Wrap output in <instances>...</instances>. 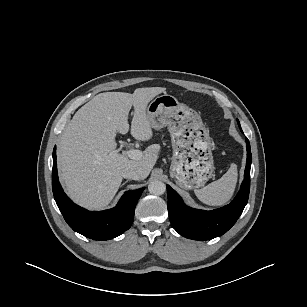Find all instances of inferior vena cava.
<instances>
[{
	"instance_id": "602c4592",
	"label": "inferior vena cava",
	"mask_w": 307,
	"mask_h": 307,
	"mask_svg": "<svg viewBox=\"0 0 307 307\" xmlns=\"http://www.w3.org/2000/svg\"><path fill=\"white\" fill-rule=\"evenodd\" d=\"M121 174L124 178L133 180H141L142 178L141 172L133 168H126L121 172Z\"/></svg>"
}]
</instances>
